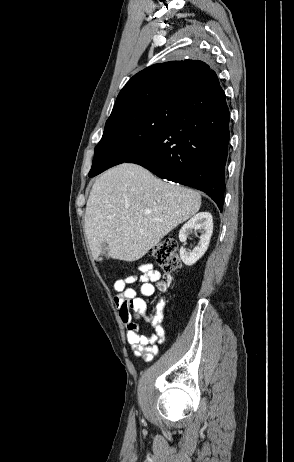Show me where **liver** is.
I'll return each mask as SVG.
<instances>
[{"instance_id":"obj_1","label":"liver","mask_w":294,"mask_h":462,"mask_svg":"<svg viewBox=\"0 0 294 462\" xmlns=\"http://www.w3.org/2000/svg\"><path fill=\"white\" fill-rule=\"evenodd\" d=\"M201 206L198 192L163 182L147 169L123 163L93 184L85 212L84 231L94 258L128 262L142 258Z\"/></svg>"}]
</instances>
